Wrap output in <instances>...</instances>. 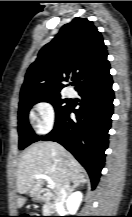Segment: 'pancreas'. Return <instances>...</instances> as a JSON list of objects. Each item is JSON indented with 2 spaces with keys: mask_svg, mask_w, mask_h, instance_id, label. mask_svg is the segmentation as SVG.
<instances>
[{
  "mask_svg": "<svg viewBox=\"0 0 132 217\" xmlns=\"http://www.w3.org/2000/svg\"><path fill=\"white\" fill-rule=\"evenodd\" d=\"M50 209H51V205L49 203H47L43 208L44 212L50 211Z\"/></svg>",
  "mask_w": 132,
  "mask_h": 217,
  "instance_id": "1",
  "label": "pancreas"
}]
</instances>
